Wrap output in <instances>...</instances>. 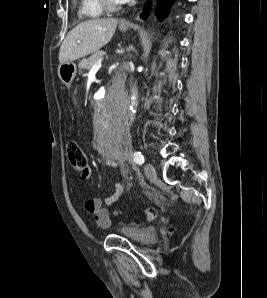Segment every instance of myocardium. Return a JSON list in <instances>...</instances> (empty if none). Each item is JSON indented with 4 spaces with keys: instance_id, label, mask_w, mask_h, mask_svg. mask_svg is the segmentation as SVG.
<instances>
[{
    "instance_id": "1",
    "label": "myocardium",
    "mask_w": 267,
    "mask_h": 298,
    "mask_svg": "<svg viewBox=\"0 0 267 298\" xmlns=\"http://www.w3.org/2000/svg\"><path fill=\"white\" fill-rule=\"evenodd\" d=\"M103 10L115 12L120 9V3L114 0H99Z\"/></svg>"
}]
</instances>
